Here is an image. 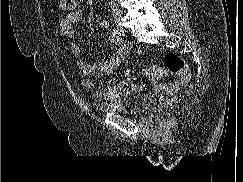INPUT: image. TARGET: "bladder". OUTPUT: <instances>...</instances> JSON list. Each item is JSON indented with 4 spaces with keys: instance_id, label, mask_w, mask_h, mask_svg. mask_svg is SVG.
<instances>
[{
    "instance_id": "obj_1",
    "label": "bladder",
    "mask_w": 243,
    "mask_h": 182,
    "mask_svg": "<svg viewBox=\"0 0 243 182\" xmlns=\"http://www.w3.org/2000/svg\"><path fill=\"white\" fill-rule=\"evenodd\" d=\"M146 100L145 95L131 92L122 99L95 103L94 109L105 114H135L143 109Z\"/></svg>"
}]
</instances>
